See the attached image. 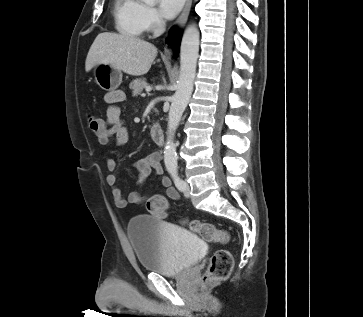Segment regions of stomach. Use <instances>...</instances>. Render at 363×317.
Segmentation results:
<instances>
[{
	"mask_svg": "<svg viewBox=\"0 0 363 317\" xmlns=\"http://www.w3.org/2000/svg\"><path fill=\"white\" fill-rule=\"evenodd\" d=\"M96 83L106 91L116 90L122 82L121 70L110 64H97L93 70Z\"/></svg>",
	"mask_w": 363,
	"mask_h": 317,
	"instance_id": "0dacf381",
	"label": "stomach"
}]
</instances>
